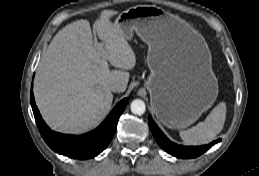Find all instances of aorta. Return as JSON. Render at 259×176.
Segmentation results:
<instances>
[{
	"instance_id": "1",
	"label": "aorta",
	"mask_w": 259,
	"mask_h": 176,
	"mask_svg": "<svg viewBox=\"0 0 259 176\" xmlns=\"http://www.w3.org/2000/svg\"><path fill=\"white\" fill-rule=\"evenodd\" d=\"M131 112L136 115H142L146 111V105L143 100L135 99L130 105Z\"/></svg>"
}]
</instances>
